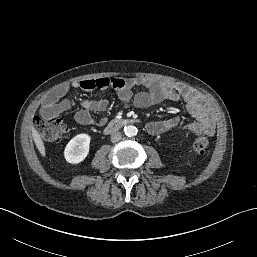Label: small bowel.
Returning a JSON list of instances; mask_svg holds the SVG:
<instances>
[{"mask_svg":"<svg viewBox=\"0 0 257 257\" xmlns=\"http://www.w3.org/2000/svg\"><path fill=\"white\" fill-rule=\"evenodd\" d=\"M70 88L83 91L113 88L117 92L123 106L126 108H147L166 100H182L186 105L188 113L195 119V122L185 127V130L195 135H213L214 133V122L206 103L198 94L190 91L184 86L144 78L124 79L121 77H101L96 79H86L59 86L55 90L53 98L46 100L47 103L43 108H51L57 113L69 109V101L66 100L59 104H53V100L65 95ZM136 88H143L144 90L133 94V90ZM80 106L82 108L74 115V119L78 124L85 126L96 124L102 125L105 122V119L96 122L92 113L104 111L108 106V101L106 99H82L80 101ZM179 122L180 119L178 117L161 121H152L148 123L147 131L152 135L163 134L175 130L178 127Z\"/></svg>","mask_w":257,"mask_h":257,"instance_id":"1","label":"small bowel"}]
</instances>
